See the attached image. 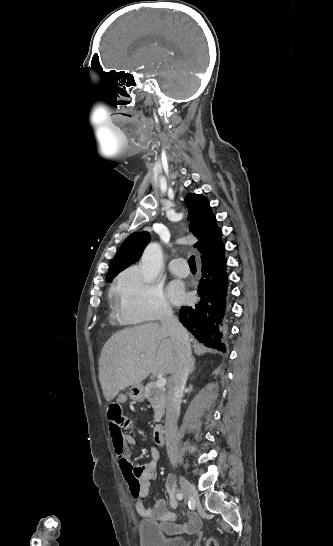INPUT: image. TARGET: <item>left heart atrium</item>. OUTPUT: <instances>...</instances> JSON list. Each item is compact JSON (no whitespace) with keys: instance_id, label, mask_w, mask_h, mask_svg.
I'll use <instances>...</instances> for the list:
<instances>
[{"instance_id":"1","label":"left heart atrium","mask_w":333,"mask_h":546,"mask_svg":"<svg viewBox=\"0 0 333 546\" xmlns=\"http://www.w3.org/2000/svg\"><path fill=\"white\" fill-rule=\"evenodd\" d=\"M169 296L174 303H180L185 299V291L181 283L173 282L170 284Z\"/></svg>"}]
</instances>
